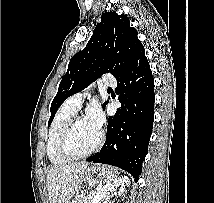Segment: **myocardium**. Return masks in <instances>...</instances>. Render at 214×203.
I'll list each match as a JSON object with an SVG mask.
<instances>
[{"label": "myocardium", "instance_id": "obj_1", "mask_svg": "<svg viewBox=\"0 0 214 203\" xmlns=\"http://www.w3.org/2000/svg\"><path fill=\"white\" fill-rule=\"evenodd\" d=\"M81 119H83V117L74 115L69 120V122L63 129L62 134L60 136L59 151L65 158H67L69 160H78V159L86 158V157L92 155L96 150H98V148L101 146L103 139H104L103 132L99 131V136H98L96 143L89 150L82 152V153L73 152L70 148V139H71L72 132L75 128V125Z\"/></svg>", "mask_w": 214, "mask_h": 203}]
</instances>
